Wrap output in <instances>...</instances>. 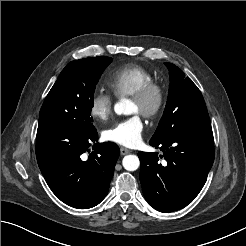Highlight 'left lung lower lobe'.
<instances>
[{"label": "left lung lower lobe", "instance_id": "left-lung-lower-lobe-1", "mask_svg": "<svg viewBox=\"0 0 246 246\" xmlns=\"http://www.w3.org/2000/svg\"><path fill=\"white\" fill-rule=\"evenodd\" d=\"M164 155L139 152L140 181L148 203L161 212L187 206L204 186L214 161L212 128L190 127L153 142ZM159 158H164L162 163Z\"/></svg>", "mask_w": 246, "mask_h": 246}]
</instances>
